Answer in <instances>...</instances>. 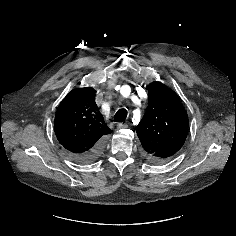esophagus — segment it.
<instances>
[{
	"label": "esophagus",
	"instance_id": "1",
	"mask_svg": "<svg viewBox=\"0 0 236 236\" xmlns=\"http://www.w3.org/2000/svg\"><path fill=\"white\" fill-rule=\"evenodd\" d=\"M128 125L127 124H124V123H118L117 124V129L121 130V129H125L127 128Z\"/></svg>",
	"mask_w": 236,
	"mask_h": 236
}]
</instances>
